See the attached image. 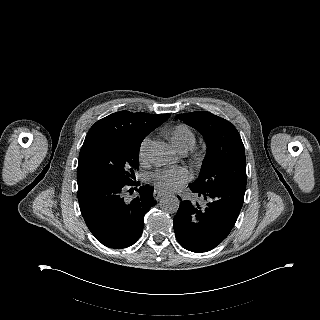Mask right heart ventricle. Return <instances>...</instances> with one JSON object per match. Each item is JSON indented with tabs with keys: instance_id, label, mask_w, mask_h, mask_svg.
Listing matches in <instances>:
<instances>
[{
	"instance_id": "e07e8e85",
	"label": "right heart ventricle",
	"mask_w": 320,
	"mask_h": 320,
	"mask_svg": "<svg viewBox=\"0 0 320 320\" xmlns=\"http://www.w3.org/2000/svg\"><path fill=\"white\" fill-rule=\"evenodd\" d=\"M170 141L176 149L184 148L190 150L196 142L193 130L185 125L178 124L168 129Z\"/></svg>"
}]
</instances>
